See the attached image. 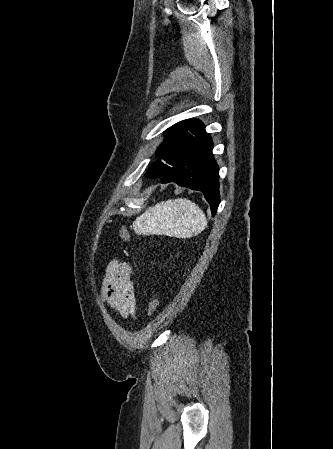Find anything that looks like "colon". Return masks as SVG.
Wrapping results in <instances>:
<instances>
[{
  "label": "colon",
  "instance_id": "5ec220e1",
  "mask_svg": "<svg viewBox=\"0 0 333 449\" xmlns=\"http://www.w3.org/2000/svg\"><path fill=\"white\" fill-rule=\"evenodd\" d=\"M119 234H120V237L124 241H126V242L131 241V234L127 227L121 226L119 229ZM159 306H160V299L157 297L151 298L149 301V304H148V309H147L148 315L149 316L154 315L156 313V311L158 310Z\"/></svg>",
  "mask_w": 333,
  "mask_h": 449
}]
</instances>
